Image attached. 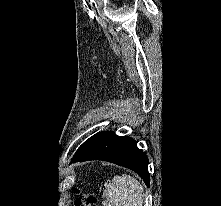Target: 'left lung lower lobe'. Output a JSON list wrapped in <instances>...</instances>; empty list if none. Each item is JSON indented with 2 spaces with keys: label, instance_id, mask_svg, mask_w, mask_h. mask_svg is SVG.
I'll use <instances>...</instances> for the list:
<instances>
[{
  "label": "left lung lower lobe",
  "instance_id": "0a47b994",
  "mask_svg": "<svg viewBox=\"0 0 221 206\" xmlns=\"http://www.w3.org/2000/svg\"><path fill=\"white\" fill-rule=\"evenodd\" d=\"M87 160H103L132 169L149 186L148 158L130 137L117 136L110 131L102 132L81 152L75 154L71 162Z\"/></svg>",
  "mask_w": 221,
  "mask_h": 206
}]
</instances>
